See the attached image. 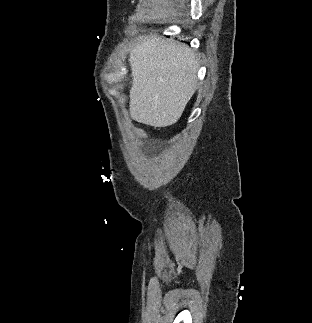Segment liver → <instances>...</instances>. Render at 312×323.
I'll list each match as a JSON object with an SVG mask.
<instances>
[{
    "label": "liver",
    "mask_w": 312,
    "mask_h": 323,
    "mask_svg": "<svg viewBox=\"0 0 312 323\" xmlns=\"http://www.w3.org/2000/svg\"><path fill=\"white\" fill-rule=\"evenodd\" d=\"M132 86L130 118L166 128L176 124L198 88V58L186 44L168 38L140 36L129 56Z\"/></svg>",
    "instance_id": "1"
}]
</instances>
